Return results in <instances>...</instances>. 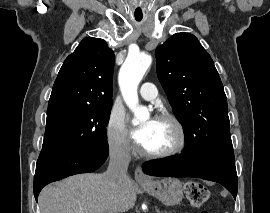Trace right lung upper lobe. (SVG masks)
Listing matches in <instances>:
<instances>
[{"label": "right lung upper lobe", "mask_w": 270, "mask_h": 213, "mask_svg": "<svg viewBox=\"0 0 270 213\" xmlns=\"http://www.w3.org/2000/svg\"><path fill=\"white\" fill-rule=\"evenodd\" d=\"M114 53L103 39H83L64 61L48 109L59 106H112Z\"/></svg>", "instance_id": "cb5924a9"}]
</instances>
